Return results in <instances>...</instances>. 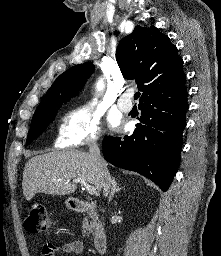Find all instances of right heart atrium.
I'll list each match as a JSON object with an SVG mask.
<instances>
[{
  "label": "right heart atrium",
  "mask_w": 221,
  "mask_h": 256,
  "mask_svg": "<svg viewBox=\"0 0 221 256\" xmlns=\"http://www.w3.org/2000/svg\"><path fill=\"white\" fill-rule=\"evenodd\" d=\"M102 114L95 104L81 103L69 109L59 126L57 143L78 147L96 142L102 131Z\"/></svg>",
  "instance_id": "right-heart-atrium-1"
}]
</instances>
